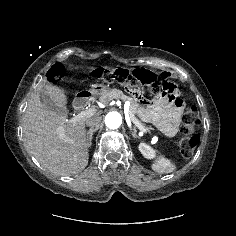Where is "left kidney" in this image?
Masks as SVG:
<instances>
[{
    "label": "left kidney",
    "instance_id": "5707ae66",
    "mask_svg": "<svg viewBox=\"0 0 236 236\" xmlns=\"http://www.w3.org/2000/svg\"><path fill=\"white\" fill-rule=\"evenodd\" d=\"M139 150L145 158L151 159L155 157V151L146 143H140Z\"/></svg>",
    "mask_w": 236,
    "mask_h": 236
}]
</instances>
